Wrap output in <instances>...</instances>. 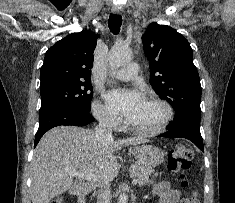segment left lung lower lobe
I'll list each match as a JSON object with an SVG mask.
<instances>
[{
	"instance_id": "0a47b994",
	"label": "left lung lower lobe",
	"mask_w": 235,
	"mask_h": 203,
	"mask_svg": "<svg viewBox=\"0 0 235 203\" xmlns=\"http://www.w3.org/2000/svg\"><path fill=\"white\" fill-rule=\"evenodd\" d=\"M200 119L201 117L195 115H186L175 119L167 127L168 132L159 135V137L186 138L204 151L203 139L200 133Z\"/></svg>"
}]
</instances>
